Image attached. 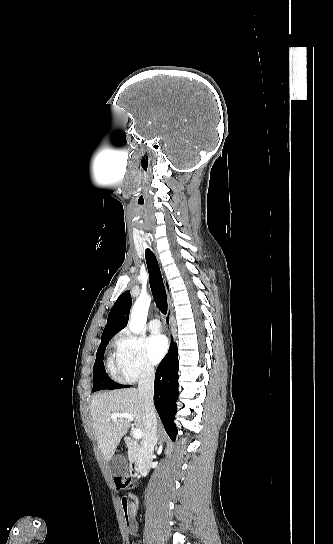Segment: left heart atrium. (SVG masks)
<instances>
[{
    "label": "left heart atrium",
    "mask_w": 333,
    "mask_h": 544,
    "mask_svg": "<svg viewBox=\"0 0 333 544\" xmlns=\"http://www.w3.org/2000/svg\"><path fill=\"white\" fill-rule=\"evenodd\" d=\"M168 349L167 339L156 334L150 336L146 341V352L152 363L157 364L165 356Z\"/></svg>",
    "instance_id": "obj_1"
}]
</instances>
